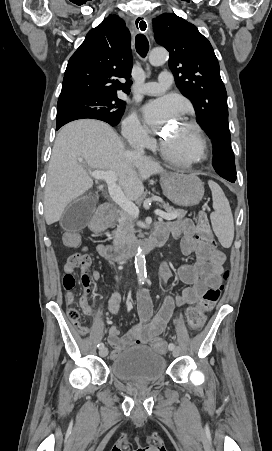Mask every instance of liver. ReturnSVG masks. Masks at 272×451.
Masks as SVG:
<instances>
[{"label": "liver", "mask_w": 272, "mask_h": 451, "mask_svg": "<svg viewBox=\"0 0 272 451\" xmlns=\"http://www.w3.org/2000/svg\"><path fill=\"white\" fill-rule=\"evenodd\" d=\"M113 170L129 200L144 194L143 180L164 172L158 162L126 150L118 134L105 122L77 120L60 130L53 146L44 194L46 224H54L73 200L93 188L88 170ZM180 176V174H176Z\"/></svg>", "instance_id": "1"}]
</instances>
